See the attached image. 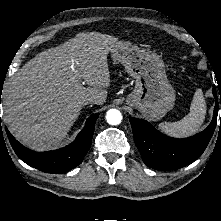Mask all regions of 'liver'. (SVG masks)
<instances>
[{"mask_svg": "<svg viewBox=\"0 0 221 221\" xmlns=\"http://www.w3.org/2000/svg\"><path fill=\"white\" fill-rule=\"evenodd\" d=\"M117 42L106 34L78 33L18 70L3 100L4 121L14 137L35 150L53 148L67 136L85 99L104 104L110 85L107 56Z\"/></svg>", "mask_w": 221, "mask_h": 221, "instance_id": "1", "label": "liver"}]
</instances>
